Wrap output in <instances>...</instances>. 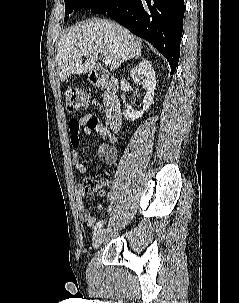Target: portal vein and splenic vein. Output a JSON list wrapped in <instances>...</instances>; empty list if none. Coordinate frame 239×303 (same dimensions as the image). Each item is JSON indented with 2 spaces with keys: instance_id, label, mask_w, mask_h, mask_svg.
<instances>
[{
  "instance_id": "18ae733b",
  "label": "portal vein and splenic vein",
  "mask_w": 239,
  "mask_h": 303,
  "mask_svg": "<svg viewBox=\"0 0 239 303\" xmlns=\"http://www.w3.org/2000/svg\"><path fill=\"white\" fill-rule=\"evenodd\" d=\"M87 52L86 51H83V55H86ZM103 62L106 64V65H109L111 64L112 60L109 58V57H104L103 58Z\"/></svg>"
}]
</instances>
